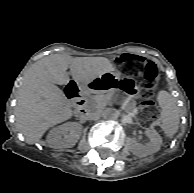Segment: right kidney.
Segmentation results:
<instances>
[{
  "label": "right kidney",
  "instance_id": "1",
  "mask_svg": "<svg viewBox=\"0 0 194 193\" xmlns=\"http://www.w3.org/2000/svg\"><path fill=\"white\" fill-rule=\"evenodd\" d=\"M81 127L72 122L64 123L53 128L47 135V144L50 148H71L79 139Z\"/></svg>",
  "mask_w": 194,
  "mask_h": 193
}]
</instances>
